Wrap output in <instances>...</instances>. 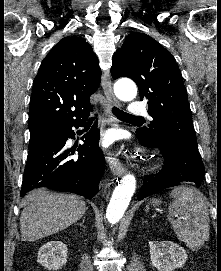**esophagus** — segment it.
I'll list each match as a JSON object with an SVG mask.
<instances>
[{
  "mask_svg": "<svg viewBox=\"0 0 221 271\" xmlns=\"http://www.w3.org/2000/svg\"><path fill=\"white\" fill-rule=\"evenodd\" d=\"M102 88L104 91V95L106 97V104L104 105L103 108H104V111H105V114L107 117V121L112 126H117L118 121L112 117L110 110L113 105H116V106L119 105V101L114 96L112 86H111L110 77L107 72L103 75ZM106 158H107L109 167H110L113 174L122 175L123 173H125L126 170H125L124 166L122 165V163L119 161V159L116 157V155L113 152H108Z\"/></svg>",
  "mask_w": 221,
  "mask_h": 271,
  "instance_id": "34e87169",
  "label": "esophagus"
}]
</instances>
